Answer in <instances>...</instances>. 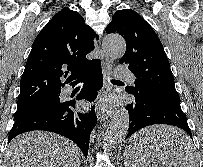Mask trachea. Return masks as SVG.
<instances>
[{
  "label": "trachea",
  "mask_w": 203,
  "mask_h": 167,
  "mask_svg": "<svg viewBox=\"0 0 203 167\" xmlns=\"http://www.w3.org/2000/svg\"><path fill=\"white\" fill-rule=\"evenodd\" d=\"M115 81H117V80H112V82H115Z\"/></svg>",
  "instance_id": "trachea-1"
}]
</instances>
